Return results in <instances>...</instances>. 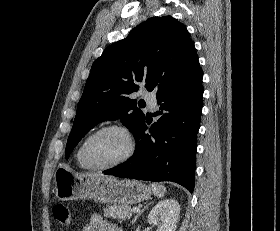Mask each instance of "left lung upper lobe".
<instances>
[{"mask_svg":"<svg viewBox=\"0 0 280 231\" xmlns=\"http://www.w3.org/2000/svg\"><path fill=\"white\" fill-rule=\"evenodd\" d=\"M200 67L186 27L171 16L152 17L94 61L70 132L65 157L85 134L105 120L136 130L145 115L129 95L145 86L157 93Z\"/></svg>","mask_w":280,"mask_h":231,"instance_id":"left-lung-upper-lobe-1","label":"left lung upper lobe"}]
</instances>
